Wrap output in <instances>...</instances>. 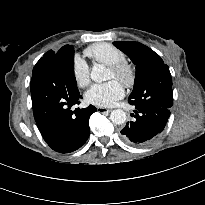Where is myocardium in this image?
Returning a JSON list of instances; mask_svg holds the SVG:
<instances>
[{"instance_id":"obj_1","label":"myocardium","mask_w":205,"mask_h":205,"mask_svg":"<svg viewBox=\"0 0 205 205\" xmlns=\"http://www.w3.org/2000/svg\"><path fill=\"white\" fill-rule=\"evenodd\" d=\"M109 70L115 78L120 80L125 86L132 87L136 80L135 68L128 62H120L109 66Z\"/></svg>"}]
</instances>
